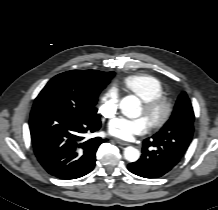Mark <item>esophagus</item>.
I'll use <instances>...</instances> for the list:
<instances>
[{
  "instance_id": "1",
  "label": "esophagus",
  "mask_w": 218,
  "mask_h": 210,
  "mask_svg": "<svg viewBox=\"0 0 218 210\" xmlns=\"http://www.w3.org/2000/svg\"><path fill=\"white\" fill-rule=\"evenodd\" d=\"M116 143L120 144V145H123V146H128L129 143L128 142H125V141H122L120 139H114Z\"/></svg>"
}]
</instances>
